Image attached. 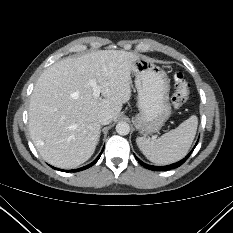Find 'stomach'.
I'll return each mask as SVG.
<instances>
[{
  "label": "stomach",
  "instance_id": "0dacf381",
  "mask_svg": "<svg viewBox=\"0 0 233 233\" xmlns=\"http://www.w3.org/2000/svg\"><path fill=\"white\" fill-rule=\"evenodd\" d=\"M133 72L139 109L136 127L144 135L158 132L171 115L169 78L160 66L145 56L133 62Z\"/></svg>",
  "mask_w": 233,
  "mask_h": 233
}]
</instances>
